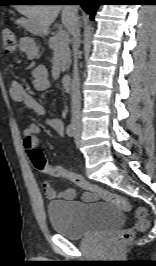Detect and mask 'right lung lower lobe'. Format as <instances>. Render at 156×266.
I'll return each instance as SVG.
<instances>
[{"label":"right lung lower lobe","instance_id":"1","mask_svg":"<svg viewBox=\"0 0 156 266\" xmlns=\"http://www.w3.org/2000/svg\"><path fill=\"white\" fill-rule=\"evenodd\" d=\"M62 2H51V3H65L70 1L81 5L83 10L90 15V19H94L95 12L100 5V0H59Z\"/></svg>","mask_w":156,"mask_h":266}]
</instances>
